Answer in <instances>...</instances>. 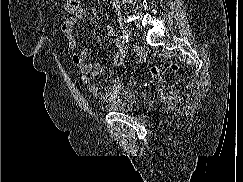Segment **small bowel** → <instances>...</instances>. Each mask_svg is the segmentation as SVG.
<instances>
[{"label": "small bowel", "mask_w": 243, "mask_h": 182, "mask_svg": "<svg viewBox=\"0 0 243 182\" xmlns=\"http://www.w3.org/2000/svg\"><path fill=\"white\" fill-rule=\"evenodd\" d=\"M87 16V12L83 8H79L77 12L65 18L61 25V30L66 38L69 48L72 51V60L78 67L81 73V81L86 85L92 95L101 102H113L118 99L120 93L123 91L124 86L121 81H115L107 91H101L97 85L92 81V77L98 76L101 72L102 66L100 63H90L87 61L86 51L79 47L74 35V29L78 23L83 21ZM107 32L113 35V27L108 25L106 27ZM116 52L113 57V64L120 65L123 63L127 53L128 47L120 40L115 41ZM135 55L139 59L144 58V52L142 49L137 48Z\"/></svg>", "instance_id": "1"}]
</instances>
